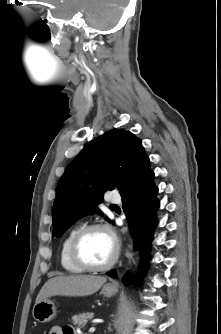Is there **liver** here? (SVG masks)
Returning a JSON list of instances; mask_svg holds the SVG:
<instances>
[{"instance_id": "6515ba94", "label": "liver", "mask_w": 221, "mask_h": 334, "mask_svg": "<svg viewBox=\"0 0 221 334\" xmlns=\"http://www.w3.org/2000/svg\"><path fill=\"white\" fill-rule=\"evenodd\" d=\"M106 282L105 277L93 275L58 276L49 279L37 295L36 303L48 297L87 296L98 291Z\"/></svg>"}]
</instances>
